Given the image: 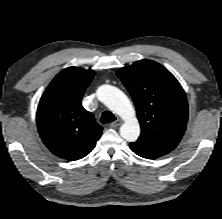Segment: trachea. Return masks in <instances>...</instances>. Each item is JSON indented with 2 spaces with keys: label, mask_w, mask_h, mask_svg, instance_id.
Wrapping results in <instances>:
<instances>
[{
  "label": "trachea",
  "mask_w": 222,
  "mask_h": 219,
  "mask_svg": "<svg viewBox=\"0 0 222 219\" xmlns=\"http://www.w3.org/2000/svg\"><path fill=\"white\" fill-rule=\"evenodd\" d=\"M116 120V117L114 116V114L110 111H104L102 113V116H101V122L102 123H111L113 121Z\"/></svg>",
  "instance_id": "obj_1"
}]
</instances>
